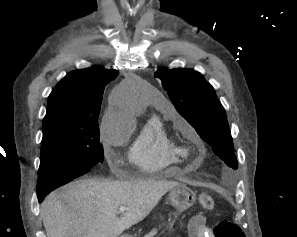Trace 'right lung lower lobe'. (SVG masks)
Segmentation results:
<instances>
[{"mask_svg": "<svg viewBox=\"0 0 297 237\" xmlns=\"http://www.w3.org/2000/svg\"><path fill=\"white\" fill-rule=\"evenodd\" d=\"M78 176H72V177H69L68 179H65L63 180L59 186H62L64 184H67L69 182H71L72 180L76 179ZM56 189V188H55ZM54 190V189H53ZM52 190H40V189H37V196H38V201L41 202L42 199L51 192Z\"/></svg>", "mask_w": 297, "mask_h": 237, "instance_id": "1", "label": "right lung lower lobe"}]
</instances>
